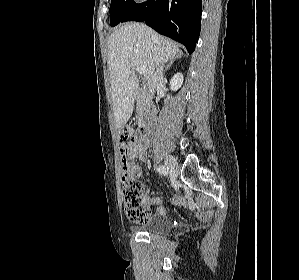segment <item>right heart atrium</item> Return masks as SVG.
Instances as JSON below:
<instances>
[{
	"label": "right heart atrium",
	"mask_w": 299,
	"mask_h": 280,
	"mask_svg": "<svg viewBox=\"0 0 299 280\" xmlns=\"http://www.w3.org/2000/svg\"><path fill=\"white\" fill-rule=\"evenodd\" d=\"M137 3L145 2L146 0H135Z\"/></svg>",
	"instance_id": "1"
}]
</instances>
